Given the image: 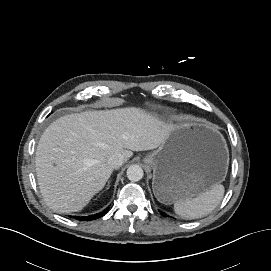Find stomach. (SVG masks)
<instances>
[{"instance_id": "1", "label": "stomach", "mask_w": 271, "mask_h": 271, "mask_svg": "<svg viewBox=\"0 0 271 271\" xmlns=\"http://www.w3.org/2000/svg\"><path fill=\"white\" fill-rule=\"evenodd\" d=\"M144 163L153 170L155 197L168 205L221 183L227 174L229 152L224 137L211 125L183 121Z\"/></svg>"}]
</instances>
